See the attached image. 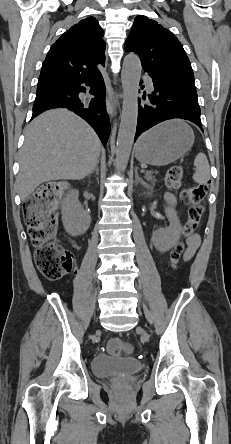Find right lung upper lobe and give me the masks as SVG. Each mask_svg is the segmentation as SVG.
<instances>
[{"instance_id": "cb5924a9", "label": "right lung upper lobe", "mask_w": 231, "mask_h": 444, "mask_svg": "<svg viewBox=\"0 0 231 444\" xmlns=\"http://www.w3.org/2000/svg\"><path fill=\"white\" fill-rule=\"evenodd\" d=\"M103 30L94 17L81 20L50 48L43 62L37 90L101 75L105 63Z\"/></svg>"}]
</instances>
